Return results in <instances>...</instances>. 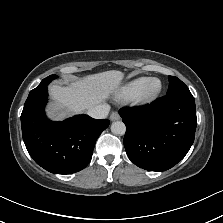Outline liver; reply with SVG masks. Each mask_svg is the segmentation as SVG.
<instances>
[{
  "instance_id": "liver-1",
  "label": "liver",
  "mask_w": 223,
  "mask_h": 223,
  "mask_svg": "<svg viewBox=\"0 0 223 223\" xmlns=\"http://www.w3.org/2000/svg\"><path fill=\"white\" fill-rule=\"evenodd\" d=\"M123 76L122 72L111 70L88 75L67 87L51 85L50 94L58 105L48 109V116L61 120L69 113H81L95 107L119 87ZM61 108L65 111H60Z\"/></svg>"
}]
</instances>
